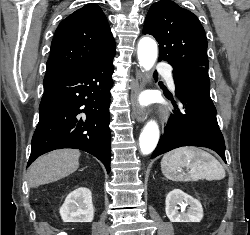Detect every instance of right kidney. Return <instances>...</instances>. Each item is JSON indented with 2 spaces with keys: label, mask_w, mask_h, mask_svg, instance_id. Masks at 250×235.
<instances>
[{
  "label": "right kidney",
  "mask_w": 250,
  "mask_h": 235,
  "mask_svg": "<svg viewBox=\"0 0 250 235\" xmlns=\"http://www.w3.org/2000/svg\"><path fill=\"white\" fill-rule=\"evenodd\" d=\"M60 215L64 222H92L94 208L91 191L85 187L72 191L60 208Z\"/></svg>",
  "instance_id": "ca27d5eb"
}]
</instances>
